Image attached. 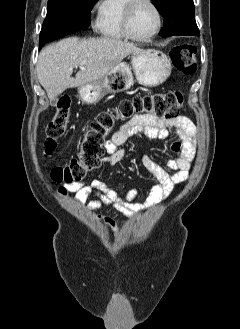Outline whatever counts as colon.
I'll return each instance as SVG.
<instances>
[{
    "label": "colon",
    "instance_id": "colon-1",
    "mask_svg": "<svg viewBox=\"0 0 240 329\" xmlns=\"http://www.w3.org/2000/svg\"><path fill=\"white\" fill-rule=\"evenodd\" d=\"M196 53V47L191 44L173 47L170 51L173 67L183 74L195 73ZM182 105L183 96L180 92L165 91L126 99L117 107L99 113L81 139L77 155L67 163L55 167L51 172L52 179L63 184L78 182L90 170L96 168L104 153L105 137L117 122L143 114L155 115L161 119H175L180 115ZM70 106V99L62 97L57 104L54 117L47 125L45 139L47 155L65 134L70 121Z\"/></svg>",
    "mask_w": 240,
    "mask_h": 329
}]
</instances>
